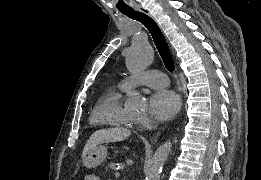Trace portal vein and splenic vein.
Returning a JSON list of instances; mask_svg holds the SVG:
<instances>
[{"instance_id": "portal-vein-and-splenic-vein-1", "label": "portal vein and splenic vein", "mask_w": 261, "mask_h": 180, "mask_svg": "<svg viewBox=\"0 0 261 180\" xmlns=\"http://www.w3.org/2000/svg\"><path fill=\"white\" fill-rule=\"evenodd\" d=\"M114 178H115V179H120V178H121V175H120L119 173H116V174L114 175Z\"/></svg>"}]
</instances>
